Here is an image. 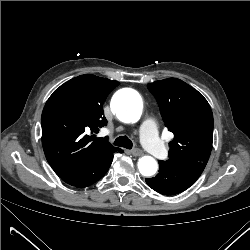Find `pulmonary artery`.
<instances>
[{
    "label": "pulmonary artery",
    "instance_id": "e3ab8cb5",
    "mask_svg": "<svg viewBox=\"0 0 250 250\" xmlns=\"http://www.w3.org/2000/svg\"><path fill=\"white\" fill-rule=\"evenodd\" d=\"M141 140L144 147L155 157L166 154V148L158 137V127L153 121H145L140 126Z\"/></svg>",
    "mask_w": 250,
    "mask_h": 250
}]
</instances>
